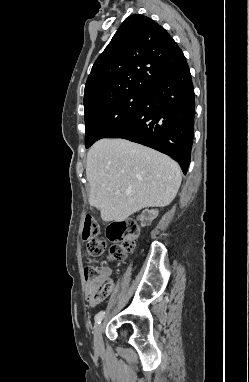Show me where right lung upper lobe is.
<instances>
[{
  "label": "right lung upper lobe",
  "instance_id": "1",
  "mask_svg": "<svg viewBox=\"0 0 249 382\" xmlns=\"http://www.w3.org/2000/svg\"><path fill=\"white\" fill-rule=\"evenodd\" d=\"M185 63L183 52L162 26L131 15L95 61L85 85L84 107L147 92Z\"/></svg>",
  "mask_w": 249,
  "mask_h": 382
}]
</instances>
